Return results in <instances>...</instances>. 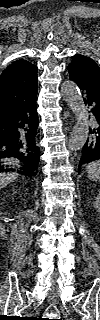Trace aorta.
Masks as SVG:
<instances>
[{"label": "aorta", "mask_w": 100, "mask_h": 320, "mask_svg": "<svg viewBox=\"0 0 100 320\" xmlns=\"http://www.w3.org/2000/svg\"><path fill=\"white\" fill-rule=\"evenodd\" d=\"M61 95L76 117V123L69 137L68 148L71 151H77L85 145L88 138V115L80 90L73 81L67 80L62 83Z\"/></svg>", "instance_id": "762f6f07"}]
</instances>
